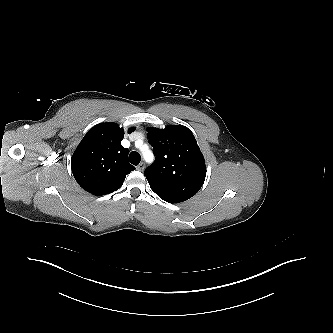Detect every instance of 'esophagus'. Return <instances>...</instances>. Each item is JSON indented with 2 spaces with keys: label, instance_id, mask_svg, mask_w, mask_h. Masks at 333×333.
I'll return each mask as SVG.
<instances>
[{
  "label": "esophagus",
  "instance_id": "esophagus-1",
  "mask_svg": "<svg viewBox=\"0 0 333 333\" xmlns=\"http://www.w3.org/2000/svg\"><path fill=\"white\" fill-rule=\"evenodd\" d=\"M144 168H145V165L142 162L140 164H138V166L136 167V169L139 170V171H143Z\"/></svg>",
  "mask_w": 333,
  "mask_h": 333
}]
</instances>
